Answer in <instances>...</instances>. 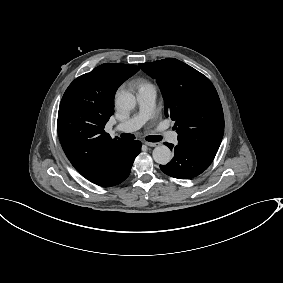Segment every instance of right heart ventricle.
Returning a JSON list of instances; mask_svg holds the SVG:
<instances>
[{"label":"right heart ventricle","mask_w":283,"mask_h":283,"mask_svg":"<svg viewBox=\"0 0 283 283\" xmlns=\"http://www.w3.org/2000/svg\"><path fill=\"white\" fill-rule=\"evenodd\" d=\"M136 82L139 84V86L147 85V83L142 79H137Z\"/></svg>","instance_id":"1"}]
</instances>
